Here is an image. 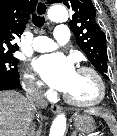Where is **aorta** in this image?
Wrapping results in <instances>:
<instances>
[{
  "label": "aorta",
  "instance_id": "obj_1",
  "mask_svg": "<svg viewBox=\"0 0 117 136\" xmlns=\"http://www.w3.org/2000/svg\"><path fill=\"white\" fill-rule=\"evenodd\" d=\"M68 17V11L63 5H54L48 11V18L53 22H65ZM65 129L66 117L59 114L51 125L49 136H64Z\"/></svg>",
  "mask_w": 117,
  "mask_h": 136
}]
</instances>
